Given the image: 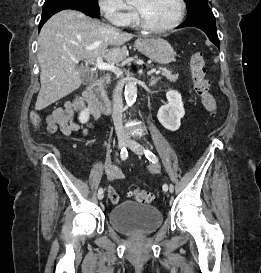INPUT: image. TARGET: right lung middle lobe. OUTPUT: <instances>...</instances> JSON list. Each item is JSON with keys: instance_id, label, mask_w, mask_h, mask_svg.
<instances>
[{"instance_id": "right-lung-middle-lobe-1", "label": "right lung middle lobe", "mask_w": 261, "mask_h": 273, "mask_svg": "<svg viewBox=\"0 0 261 273\" xmlns=\"http://www.w3.org/2000/svg\"><path fill=\"white\" fill-rule=\"evenodd\" d=\"M71 0H46L43 5V16L53 15L61 10L70 9ZM86 6L99 13L98 0H83Z\"/></svg>"}]
</instances>
